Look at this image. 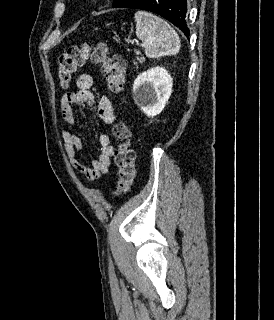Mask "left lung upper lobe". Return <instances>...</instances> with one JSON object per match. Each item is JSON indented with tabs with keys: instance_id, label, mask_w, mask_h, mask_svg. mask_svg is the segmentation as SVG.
I'll return each instance as SVG.
<instances>
[{
	"instance_id": "5c2ea615",
	"label": "left lung upper lobe",
	"mask_w": 274,
	"mask_h": 320,
	"mask_svg": "<svg viewBox=\"0 0 274 320\" xmlns=\"http://www.w3.org/2000/svg\"><path fill=\"white\" fill-rule=\"evenodd\" d=\"M129 0H114L113 7L114 8H121L123 7Z\"/></svg>"
}]
</instances>
